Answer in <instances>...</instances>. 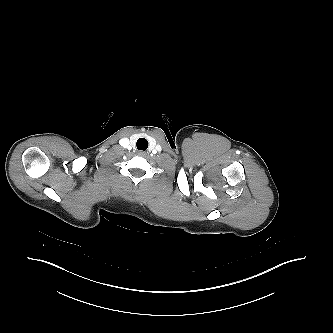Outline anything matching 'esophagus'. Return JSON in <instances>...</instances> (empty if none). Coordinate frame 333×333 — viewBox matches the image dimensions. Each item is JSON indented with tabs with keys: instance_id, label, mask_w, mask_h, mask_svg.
Segmentation results:
<instances>
[{
	"instance_id": "obj_1",
	"label": "esophagus",
	"mask_w": 333,
	"mask_h": 333,
	"mask_svg": "<svg viewBox=\"0 0 333 333\" xmlns=\"http://www.w3.org/2000/svg\"><path fill=\"white\" fill-rule=\"evenodd\" d=\"M137 154H138L139 156H145V155H146V152H144V151H138Z\"/></svg>"
}]
</instances>
